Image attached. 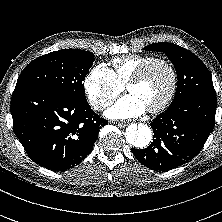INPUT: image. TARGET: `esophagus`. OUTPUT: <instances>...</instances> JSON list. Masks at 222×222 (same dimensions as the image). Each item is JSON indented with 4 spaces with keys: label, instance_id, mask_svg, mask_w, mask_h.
<instances>
[{
    "label": "esophagus",
    "instance_id": "34e87169",
    "mask_svg": "<svg viewBox=\"0 0 222 222\" xmlns=\"http://www.w3.org/2000/svg\"><path fill=\"white\" fill-rule=\"evenodd\" d=\"M118 126L121 127V128H124V127L127 126V124L124 123V122H119V123H118Z\"/></svg>",
    "mask_w": 222,
    "mask_h": 222
}]
</instances>
